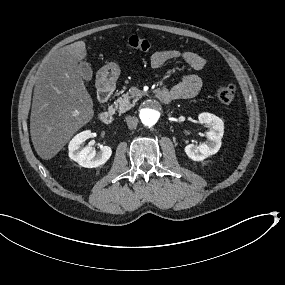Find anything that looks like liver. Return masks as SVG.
<instances>
[{"label": "liver", "instance_id": "liver-1", "mask_svg": "<svg viewBox=\"0 0 285 285\" xmlns=\"http://www.w3.org/2000/svg\"><path fill=\"white\" fill-rule=\"evenodd\" d=\"M87 55L84 41L54 52L34 88L30 134L37 154L53 158L71 137L94 116L78 63Z\"/></svg>", "mask_w": 285, "mask_h": 285}]
</instances>
